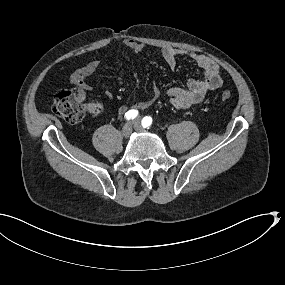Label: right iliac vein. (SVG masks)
Here are the masks:
<instances>
[{
    "mask_svg": "<svg viewBox=\"0 0 285 285\" xmlns=\"http://www.w3.org/2000/svg\"><path fill=\"white\" fill-rule=\"evenodd\" d=\"M132 129H133V126L131 123H127L123 126L122 128V135L125 137V138H128L131 133H132Z\"/></svg>",
    "mask_w": 285,
    "mask_h": 285,
    "instance_id": "63e3f726",
    "label": "right iliac vein"
}]
</instances>
